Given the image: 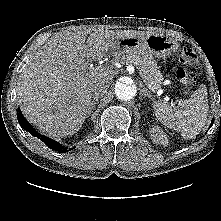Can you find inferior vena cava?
<instances>
[{
    "label": "inferior vena cava",
    "mask_w": 221,
    "mask_h": 221,
    "mask_svg": "<svg viewBox=\"0 0 221 221\" xmlns=\"http://www.w3.org/2000/svg\"><path fill=\"white\" fill-rule=\"evenodd\" d=\"M106 92H107V88L104 85L96 86L93 89V98L96 99V98L102 97Z\"/></svg>",
    "instance_id": "obj_1"
}]
</instances>
